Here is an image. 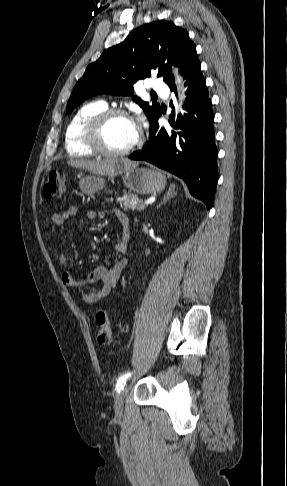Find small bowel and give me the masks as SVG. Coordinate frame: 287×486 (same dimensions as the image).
Returning <instances> with one entry per match:
<instances>
[{"label":"small bowel","mask_w":287,"mask_h":486,"mask_svg":"<svg viewBox=\"0 0 287 486\" xmlns=\"http://www.w3.org/2000/svg\"><path fill=\"white\" fill-rule=\"evenodd\" d=\"M114 213L122 225L121 236L115 245V249L119 254L124 255L128 251L130 241L129 218L121 210L115 209ZM78 214L79 208L71 206L61 213L52 214L50 221L55 226L62 227L66 223L71 222ZM86 217L95 219L98 217V213L90 210L86 212ZM59 263L61 266V282L66 288L80 290L87 286H99L98 290L79 292L78 296L83 302L93 304L107 297L116 287L127 260L124 257H120L109 267L98 266L89 275L81 279H75L71 274L68 267V257L65 253H60Z\"/></svg>","instance_id":"1"}]
</instances>
